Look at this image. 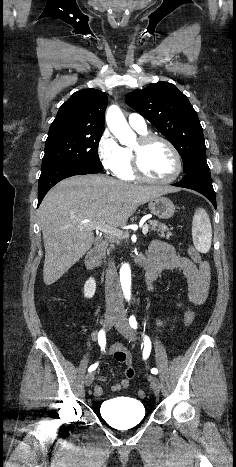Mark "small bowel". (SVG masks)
Returning <instances> with one entry per match:
<instances>
[{"mask_svg": "<svg viewBox=\"0 0 236 467\" xmlns=\"http://www.w3.org/2000/svg\"><path fill=\"white\" fill-rule=\"evenodd\" d=\"M146 262L153 274L151 279L146 280L148 291H152L153 282L159 273L165 270L180 269L187 278L189 300L191 303L202 305L206 302L211 282V269L208 262L201 261L200 263H195L186 257L179 256L176 254L173 246L158 240L151 243L146 256ZM117 352H122L125 355L124 360L119 361L115 359L125 364V377L112 386L113 392L128 389L130 381L135 375L131 353L123 347L115 345L111 348V353L115 357ZM99 380L105 382L107 379L105 376H100ZM94 393L96 396L102 397L104 395L103 388L100 385H96Z\"/></svg>", "mask_w": 236, "mask_h": 467, "instance_id": "1", "label": "small bowel"}]
</instances>
